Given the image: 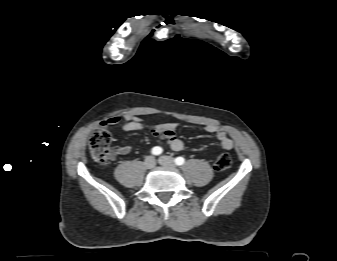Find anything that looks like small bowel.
I'll return each mask as SVG.
<instances>
[{"instance_id":"small-bowel-1","label":"small bowel","mask_w":337,"mask_h":261,"mask_svg":"<svg viewBox=\"0 0 337 261\" xmlns=\"http://www.w3.org/2000/svg\"><path fill=\"white\" fill-rule=\"evenodd\" d=\"M121 122V118L114 116L100 123L101 128H107L108 126L117 125ZM178 124L175 122L159 123L153 125H147L142 120L134 116H126L123 118L122 129L127 132L132 131H149L159 141L166 143L174 151H182L185 148L184 142L176 135V129ZM205 130L213 134L220 142L221 147L224 150H230L233 148V141L228 136L227 132L220 126L209 124L205 127ZM117 153L120 155H127L131 151V147L128 145H121L117 147Z\"/></svg>"}]
</instances>
